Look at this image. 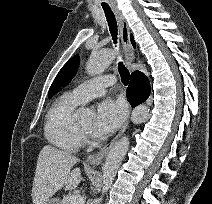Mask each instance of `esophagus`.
I'll return each instance as SVG.
<instances>
[{
    "label": "esophagus",
    "mask_w": 212,
    "mask_h": 204,
    "mask_svg": "<svg viewBox=\"0 0 212 204\" xmlns=\"http://www.w3.org/2000/svg\"><path fill=\"white\" fill-rule=\"evenodd\" d=\"M115 12H116L118 22H119V27H120L121 41H122V46L125 53V63L128 69L131 70L132 62H133V50H132V46L130 42V30L124 16L117 9H115ZM129 114L125 122L123 123L122 127L120 128L118 134L107 145H105L102 149H100V151H98L97 153L91 154L87 157V161L89 164L96 165L103 160V158L107 155L108 151L112 148L114 143L122 136V134L128 128Z\"/></svg>",
    "instance_id": "34e87169"
}]
</instances>
